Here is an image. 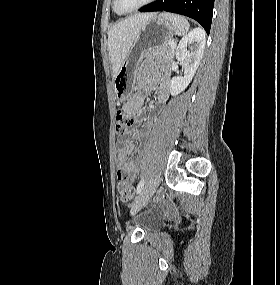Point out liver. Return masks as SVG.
I'll list each match as a JSON object with an SVG mask.
<instances>
[{"instance_id": "1", "label": "liver", "mask_w": 280, "mask_h": 285, "mask_svg": "<svg viewBox=\"0 0 280 285\" xmlns=\"http://www.w3.org/2000/svg\"><path fill=\"white\" fill-rule=\"evenodd\" d=\"M155 13L136 14L115 25L108 32V51L112 63L113 78L130 52L140 30Z\"/></svg>"}]
</instances>
